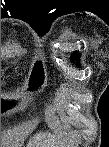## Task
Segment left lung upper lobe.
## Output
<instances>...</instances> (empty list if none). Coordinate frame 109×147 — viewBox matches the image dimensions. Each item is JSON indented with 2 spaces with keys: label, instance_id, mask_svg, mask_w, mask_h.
Returning a JSON list of instances; mask_svg holds the SVG:
<instances>
[{
  "label": "left lung upper lobe",
  "instance_id": "left-lung-upper-lobe-1",
  "mask_svg": "<svg viewBox=\"0 0 109 147\" xmlns=\"http://www.w3.org/2000/svg\"><path fill=\"white\" fill-rule=\"evenodd\" d=\"M79 57H80V54H78V52H74L71 56V61L74 62H78L79 61Z\"/></svg>",
  "mask_w": 109,
  "mask_h": 147
}]
</instances>
